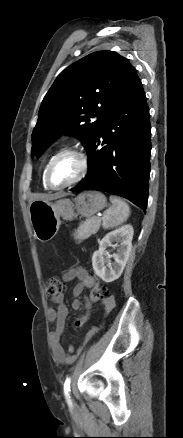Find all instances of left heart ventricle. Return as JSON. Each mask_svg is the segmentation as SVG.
<instances>
[{
	"label": "left heart ventricle",
	"mask_w": 183,
	"mask_h": 438,
	"mask_svg": "<svg viewBox=\"0 0 183 438\" xmlns=\"http://www.w3.org/2000/svg\"><path fill=\"white\" fill-rule=\"evenodd\" d=\"M80 170L79 160L75 156H66L55 162L50 172L53 185H63L74 179Z\"/></svg>",
	"instance_id": "obj_1"
}]
</instances>
